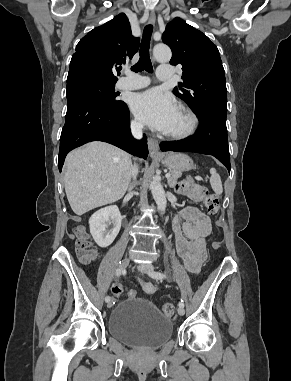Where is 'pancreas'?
Here are the masks:
<instances>
[{"label": "pancreas", "mask_w": 291, "mask_h": 381, "mask_svg": "<svg viewBox=\"0 0 291 381\" xmlns=\"http://www.w3.org/2000/svg\"><path fill=\"white\" fill-rule=\"evenodd\" d=\"M170 174H171V176H170V178H168V184L170 187H174L177 183V179L181 177L182 172L171 170Z\"/></svg>", "instance_id": "pancreas-1"}]
</instances>
